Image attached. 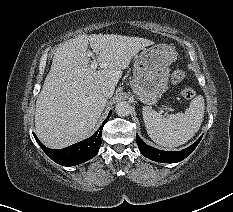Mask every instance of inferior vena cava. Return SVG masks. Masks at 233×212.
Here are the masks:
<instances>
[{
	"mask_svg": "<svg viewBox=\"0 0 233 212\" xmlns=\"http://www.w3.org/2000/svg\"><path fill=\"white\" fill-rule=\"evenodd\" d=\"M101 95L105 98H110L113 95V91L107 87H103L100 91Z\"/></svg>",
	"mask_w": 233,
	"mask_h": 212,
	"instance_id": "1",
	"label": "inferior vena cava"
}]
</instances>
